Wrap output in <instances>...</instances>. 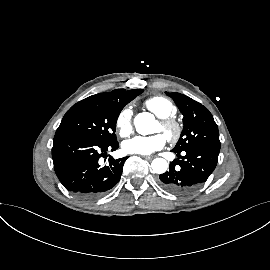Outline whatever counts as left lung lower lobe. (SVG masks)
I'll return each instance as SVG.
<instances>
[{
	"label": "left lung lower lobe",
	"mask_w": 270,
	"mask_h": 270,
	"mask_svg": "<svg viewBox=\"0 0 270 270\" xmlns=\"http://www.w3.org/2000/svg\"><path fill=\"white\" fill-rule=\"evenodd\" d=\"M179 157L159 176L160 186L174 194H189L206 182L216 167L219 152L204 148L172 150ZM184 155V156H182Z\"/></svg>",
	"instance_id": "obj_1"
}]
</instances>
